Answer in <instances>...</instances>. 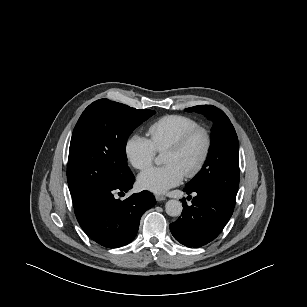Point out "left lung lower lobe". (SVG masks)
Returning a JSON list of instances; mask_svg holds the SVG:
<instances>
[{
  "label": "left lung lower lobe",
  "instance_id": "0a47b994",
  "mask_svg": "<svg viewBox=\"0 0 307 307\" xmlns=\"http://www.w3.org/2000/svg\"><path fill=\"white\" fill-rule=\"evenodd\" d=\"M187 194L196 196L192 205L184 203L181 217L170 224L174 238L187 247H200L215 239L229 221L234 202L228 200L219 192L203 187H185Z\"/></svg>",
  "mask_w": 307,
  "mask_h": 307
}]
</instances>
